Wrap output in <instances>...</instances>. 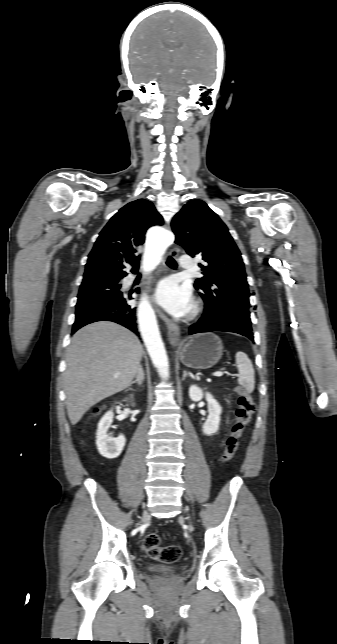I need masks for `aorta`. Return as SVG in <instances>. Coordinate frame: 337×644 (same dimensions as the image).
<instances>
[{
  "mask_svg": "<svg viewBox=\"0 0 337 644\" xmlns=\"http://www.w3.org/2000/svg\"><path fill=\"white\" fill-rule=\"evenodd\" d=\"M172 239L173 236L169 232H162L159 238L160 246L157 249L148 248L146 250L143 257V270L145 273H149L159 264L164 246ZM137 315L141 335L150 358L159 375L166 379L169 377L168 356L159 333L154 311L146 298H142L139 303Z\"/></svg>",
  "mask_w": 337,
  "mask_h": 644,
  "instance_id": "1",
  "label": "aorta"
}]
</instances>
